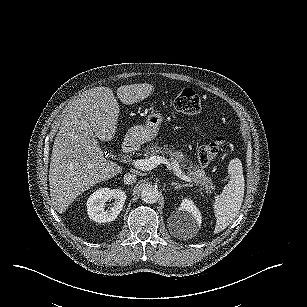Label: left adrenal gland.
I'll return each mask as SVG.
<instances>
[{
    "instance_id": "obj_1",
    "label": "left adrenal gland",
    "mask_w": 307,
    "mask_h": 307,
    "mask_svg": "<svg viewBox=\"0 0 307 307\" xmlns=\"http://www.w3.org/2000/svg\"><path fill=\"white\" fill-rule=\"evenodd\" d=\"M171 185L175 186V190L181 189L182 187H190V184H180L176 182H172Z\"/></svg>"
}]
</instances>
